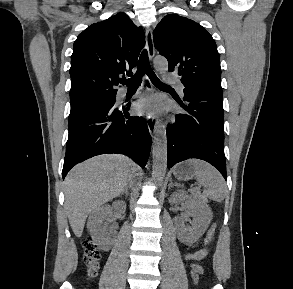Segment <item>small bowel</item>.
Masks as SVG:
<instances>
[{
  "label": "small bowel",
  "instance_id": "obj_1",
  "mask_svg": "<svg viewBox=\"0 0 293 289\" xmlns=\"http://www.w3.org/2000/svg\"><path fill=\"white\" fill-rule=\"evenodd\" d=\"M193 247V246H191ZM207 255V250L206 249H198L194 252H190L185 254V260L191 262V265H194L192 262L193 261H198L203 259Z\"/></svg>",
  "mask_w": 293,
  "mask_h": 289
}]
</instances>
